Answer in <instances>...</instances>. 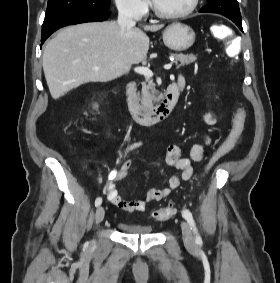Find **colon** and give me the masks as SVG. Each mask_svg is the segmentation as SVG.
<instances>
[{
    "mask_svg": "<svg viewBox=\"0 0 280 283\" xmlns=\"http://www.w3.org/2000/svg\"><path fill=\"white\" fill-rule=\"evenodd\" d=\"M210 30L213 36L219 39L220 42H227L226 46L228 47V51H227L228 55H239L240 54L243 43L240 42L241 41L240 37H231L233 35V32L230 27L225 26V25H213L211 26ZM88 111L93 112L94 108L89 107ZM244 119H245L244 110L242 107H239L236 111V114L233 120V122H235L236 124L233 139L230 140L228 143L222 145L216 151V153L211 158L207 169L211 168L216 162H218L220 159H222L225 156L231 144L233 143L234 139L240 134L241 129L244 124ZM70 126L74 127L75 123L71 122ZM174 213H175V208L173 206H167V207L160 208L154 211L153 218L157 221H167L173 216Z\"/></svg>",
    "mask_w": 280,
    "mask_h": 283,
    "instance_id": "obj_1",
    "label": "colon"
}]
</instances>
